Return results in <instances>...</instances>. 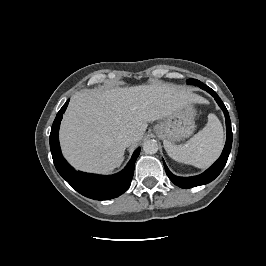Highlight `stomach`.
Returning a JSON list of instances; mask_svg holds the SVG:
<instances>
[{
	"instance_id": "stomach-1",
	"label": "stomach",
	"mask_w": 266,
	"mask_h": 266,
	"mask_svg": "<svg viewBox=\"0 0 266 266\" xmlns=\"http://www.w3.org/2000/svg\"><path fill=\"white\" fill-rule=\"evenodd\" d=\"M196 112L194 107L187 105L171 115L165 117L154 126L155 134L163 140L164 144H172L191 136L195 129Z\"/></svg>"
}]
</instances>
